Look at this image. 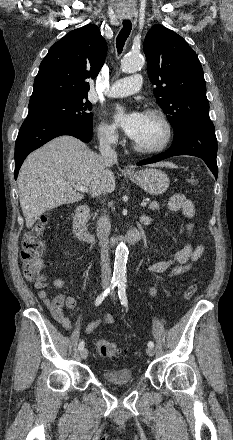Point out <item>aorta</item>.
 <instances>
[{"label":"aorta","mask_w":233,"mask_h":440,"mask_svg":"<svg viewBox=\"0 0 233 440\" xmlns=\"http://www.w3.org/2000/svg\"><path fill=\"white\" fill-rule=\"evenodd\" d=\"M143 65V59L139 55L125 57L121 62V70L124 73L136 72ZM128 248L124 242H120L115 250V262L113 276L116 280H125Z\"/></svg>","instance_id":"1"}]
</instances>
